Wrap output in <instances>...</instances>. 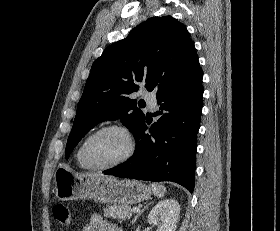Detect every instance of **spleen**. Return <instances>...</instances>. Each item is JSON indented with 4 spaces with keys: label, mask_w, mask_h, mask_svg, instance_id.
I'll return each instance as SVG.
<instances>
[{
    "label": "spleen",
    "mask_w": 280,
    "mask_h": 231,
    "mask_svg": "<svg viewBox=\"0 0 280 231\" xmlns=\"http://www.w3.org/2000/svg\"><path fill=\"white\" fill-rule=\"evenodd\" d=\"M150 187H152L154 195H157V197H164V193H166V187H164V185H160V183H150Z\"/></svg>",
    "instance_id": "obj_1"
}]
</instances>
